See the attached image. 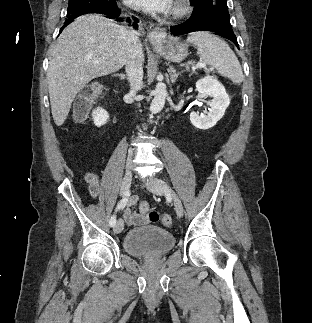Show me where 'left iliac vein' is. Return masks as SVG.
<instances>
[{"instance_id": "1", "label": "left iliac vein", "mask_w": 312, "mask_h": 323, "mask_svg": "<svg viewBox=\"0 0 312 323\" xmlns=\"http://www.w3.org/2000/svg\"><path fill=\"white\" fill-rule=\"evenodd\" d=\"M146 186L151 192L157 195H168L173 200L177 216H183L184 209L180 198L164 180L158 178H150L146 182Z\"/></svg>"}]
</instances>
